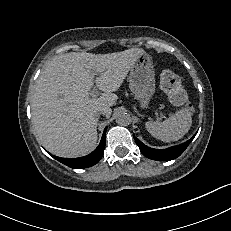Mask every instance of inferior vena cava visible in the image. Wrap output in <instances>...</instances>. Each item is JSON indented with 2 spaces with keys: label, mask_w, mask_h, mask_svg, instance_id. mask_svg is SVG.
<instances>
[{
  "label": "inferior vena cava",
  "mask_w": 231,
  "mask_h": 231,
  "mask_svg": "<svg viewBox=\"0 0 231 231\" xmlns=\"http://www.w3.org/2000/svg\"><path fill=\"white\" fill-rule=\"evenodd\" d=\"M101 114H104V109L103 108L98 109L97 111H95V116H99Z\"/></svg>",
  "instance_id": "1"
}]
</instances>
